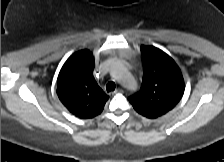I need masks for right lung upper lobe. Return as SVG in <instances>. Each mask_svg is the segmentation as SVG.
<instances>
[{
  "instance_id": "obj_1",
  "label": "right lung upper lobe",
  "mask_w": 224,
  "mask_h": 162,
  "mask_svg": "<svg viewBox=\"0 0 224 162\" xmlns=\"http://www.w3.org/2000/svg\"><path fill=\"white\" fill-rule=\"evenodd\" d=\"M93 69V54L87 49L80 50L67 59L57 79L60 101L82 119L100 114L108 100L93 77Z\"/></svg>"
}]
</instances>
